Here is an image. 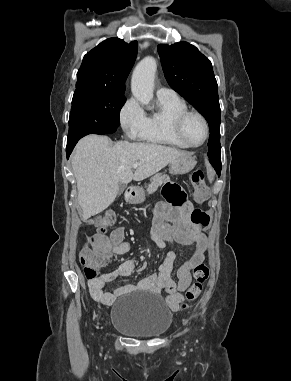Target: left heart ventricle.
Wrapping results in <instances>:
<instances>
[{
	"instance_id": "1",
	"label": "left heart ventricle",
	"mask_w": 291,
	"mask_h": 381,
	"mask_svg": "<svg viewBox=\"0 0 291 381\" xmlns=\"http://www.w3.org/2000/svg\"><path fill=\"white\" fill-rule=\"evenodd\" d=\"M184 134L192 144L202 142L205 135V128L201 119L195 115L186 118L183 125Z\"/></svg>"
}]
</instances>
